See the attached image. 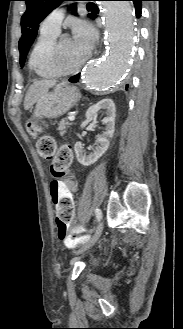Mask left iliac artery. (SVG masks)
<instances>
[{
	"mask_svg": "<svg viewBox=\"0 0 183 329\" xmlns=\"http://www.w3.org/2000/svg\"><path fill=\"white\" fill-rule=\"evenodd\" d=\"M95 215H96L97 221H100L101 218H102V212H101V210L99 208H96L95 209Z\"/></svg>",
	"mask_w": 183,
	"mask_h": 329,
	"instance_id": "1",
	"label": "left iliac artery"
}]
</instances>
